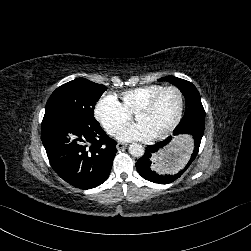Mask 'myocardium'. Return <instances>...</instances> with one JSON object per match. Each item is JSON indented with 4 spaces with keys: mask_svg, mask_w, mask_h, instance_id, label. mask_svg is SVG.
<instances>
[{
    "mask_svg": "<svg viewBox=\"0 0 251 251\" xmlns=\"http://www.w3.org/2000/svg\"><path fill=\"white\" fill-rule=\"evenodd\" d=\"M169 91H174V92H177L179 94L180 108H179V113H178V116H177L176 120L172 124H170L169 126L165 127L164 129H162L161 131L158 132V136H160V137L166 136V135L174 132L180 126V124L182 123L183 118H184V113H185V106H186V100H185L184 92L180 88H178L176 86L164 87L162 90L157 92L154 96H152L149 100H147L145 103H143L141 106H139L137 108V110L152 109L156 105L158 100L165 93H167Z\"/></svg>",
    "mask_w": 251,
    "mask_h": 251,
    "instance_id": "1",
    "label": "myocardium"
}]
</instances>
